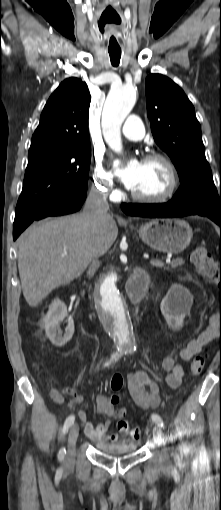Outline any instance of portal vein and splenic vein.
Masks as SVG:
<instances>
[{
    "instance_id": "obj_1",
    "label": "portal vein and splenic vein",
    "mask_w": 221,
    "mask_h": 510,
    "mask_svg": "<svg viewBox=\"0 0 221 510\" xmlns=\"http://www.w3.org/2000/svg\"><path fill=\"white\" fill-rule=\"evenodd\" d=\"M150 264L153 265V266H163V262L159 261V260H150Z\"/></svg>"
}]
</instances>
